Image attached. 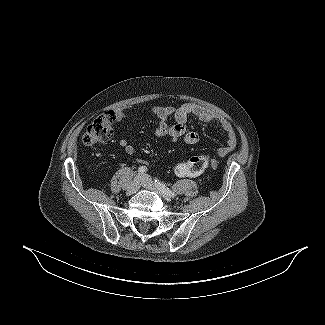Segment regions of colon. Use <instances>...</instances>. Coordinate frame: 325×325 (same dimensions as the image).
<instances>
[{"mask_svg": "<svg viewBox=\"0 0 325 325\" xmlns=\"http://www.w3.org/2000/svg\"><path fill=\"white\" fill-rule=\"evenodd\" d=\"M115 117L111 112L98 116L87 128L83 135L85 145H94L109 141L113 137V124ZM206 156H195L188 161L178 163L174 166V172L178 176H194L201 174L209 165Z\"/></svg>", "mask_w": 325, "mask_h": 325, "instance_id": "colon-1", "label": "colon"}]
</instances>
